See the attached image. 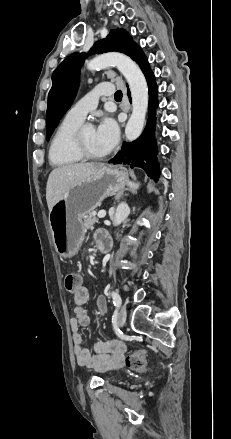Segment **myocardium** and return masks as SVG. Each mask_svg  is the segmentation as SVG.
Returning a JSON list of instances; mask_svg holds the SVG:
<instances>
[{
    "mask_svg": "<svg viewBox=\"0 0 231 439\" xmlns=\"http://www.w3.org/2000/svg\"><path fill=\"white\" fill-rule=\"evenodd\" d=\"M84 128L85 127H79L73 135L72 145L74 150L82 159L95 160L104 158L107 153L95 154L89 151L88 148L85 146L82 136Z\"/></svg>",
    "mask_w": 231,
    "mask_h": 439,
    "instance_id": "myocardium-1",
    "label": "myocardium"
}]
</instances>
